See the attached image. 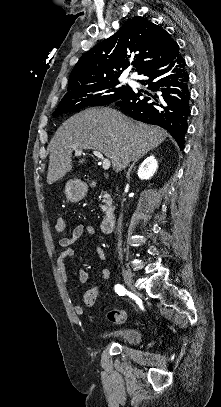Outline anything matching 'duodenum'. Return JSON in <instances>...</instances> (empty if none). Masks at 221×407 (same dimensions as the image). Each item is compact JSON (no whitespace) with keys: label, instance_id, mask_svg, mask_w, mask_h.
<instances>
[{"label":"duodenum","instance_id":"1","mask_svg":"<svg viewBox=\"0 0 221 407\" xmlns=\"http://www.w3.org/2000/svg\"><path fill=\"white\" fill-rule=\"evenodd\" d=\"M117 216V211L110 209L101 223V230L103 233H109L114 225Z\"/></svg>","mask_w":221,"mask_h":407}]
</instances>
